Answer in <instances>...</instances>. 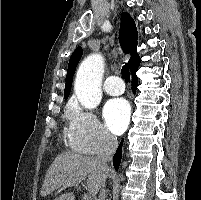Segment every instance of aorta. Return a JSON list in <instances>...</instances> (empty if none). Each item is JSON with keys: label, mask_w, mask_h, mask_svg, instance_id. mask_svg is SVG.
<instances>
[{"label": "aorta", "mask_w": 201, "mask_h": 200, "mask_svg": "<svg viewBox=\"0 0 201 200\" xmlns=\"http://www.w3.org/2000/svg\"><path fill=\"white\" fill-rule=\"evenodd\" d=\"M104 71V59L101 54L88 56L79 66L74 90L86 109L96 108L102 98L101 82Z\"/></svg>", "instance_id": "obj_1"}]
</instances>
